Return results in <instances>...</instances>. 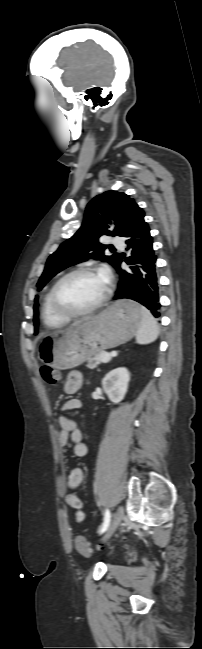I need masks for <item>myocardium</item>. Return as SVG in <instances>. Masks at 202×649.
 Masks as SVG:
<instances>
[{"label": "myocardium", "mask_w": 202, "mask_h": 649, "mask_svg": "<svg viewBox=\"0 0 202 649\" xmlns=\"http://www.w3.org/2000/svg\"><path fill=\"white\" fill-rule=\"evenodd\" d=\"M96 272H99V270L96 267L82 266L67 272L55 282L51 290V302L58 314L68 318L82 317L94 313L107 302L112 292L111 280L109 278L107 280V286L103 296L94 305L90 306L89 308L83 310L71 309L67 305H65L60 298V294H59L60 287L67 279L78 274H87V273H96Z\"/></svg>", "instance_id": "1"}]
</instances>
